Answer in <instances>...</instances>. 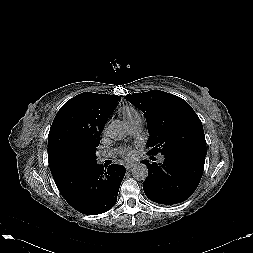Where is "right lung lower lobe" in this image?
I'll list each match as a JSON object with an SVG mask.
<instances>
[{
  "label": "right lung lower lobe",
  "mask_w": 253,
  "mask_h": 253,
  "mask_svg": "<svg viewBox=\"0 0 253 253\" xmlns=\"http://www.w3.org/2000/svg\"><path fill=\"white\" fill-rule=\"evenodd\" d=\"M124 175L122 165L112 164L104 169L94 162L68 171L54 178V181L75 210L86 215H97L115 205Z\"/></svg>",
  "instance_id": "1"
}]
</instances>
